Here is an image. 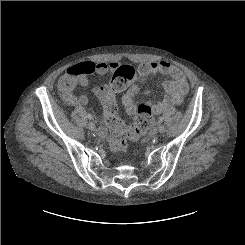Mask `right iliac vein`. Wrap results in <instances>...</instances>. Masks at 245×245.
I'll use <instances>...</instances> for the list:
<instances>
[{"label": "right iliac vein", "instance_id": "1", "mask_svg": "<svg viewBox=\"0 0 245 245\" xmlns=\"http://www.w3.org/2000/svg\"><path fill=\"white\" fill-rule=\"evenodd\" d=\"M88 127H89V129L91 130V131H95V124L93 123V122H90L89 124H88Z\"/></svg>", "mask_w": 245, "mask_h": 245}]
</instances>
